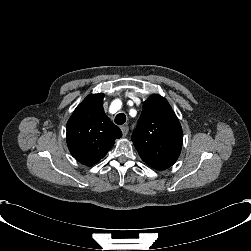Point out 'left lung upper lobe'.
Masks as SVG:
<instances>
[{
    "label": "left lung upper lobe",
    "instance_id": "obj_1",
    "mask_svg": "<svg viewBox=\"0 0 251 251\" xmlns=\"http://www.w3.org/2000/svg\"><path fill=\"white\" fill-rule=\"evenodd\" d=\"M131 139L141 159L150 167L165 170L176 162L182 148L183 132L165 98L153 94L144 102Z\"/></svg>",
    "mask_w": 251,
    "mask_h": 251
}]
</instances>
